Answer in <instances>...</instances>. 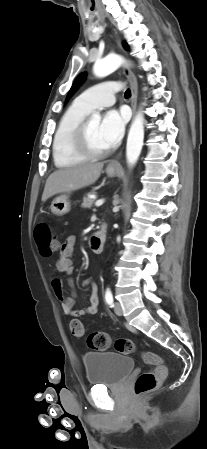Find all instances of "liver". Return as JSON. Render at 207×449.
I'll list each match as a JSON object with an SVG mask.
<instances>
[{
  "label": "liver",
  "mask_w": 207,
  "mask_h": 449,
  "mask_svg": "<svg viewBox=\"0 0 207 449\" xmlns=\"http://www.w3.org/2000/svg\"><path fill=\"white\" fill-rule=\"evenodd\" d=\"M103 165V163L82 164L53 172L46 181L42 202L56 194L70 192L95 183Z\"/></svg>",
  "instance_id": "6515ba94"
}]
</instances>
